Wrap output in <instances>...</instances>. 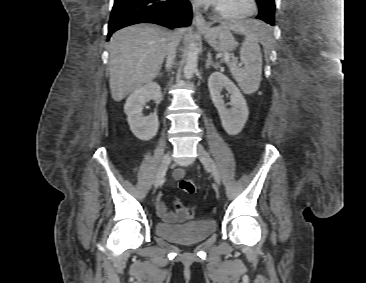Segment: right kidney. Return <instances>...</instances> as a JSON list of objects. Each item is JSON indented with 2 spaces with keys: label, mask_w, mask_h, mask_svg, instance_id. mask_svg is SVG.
<instances>
[{
  "label": "right kidney",
  "mask_w": 366,
  "mask_h": 283,
  "mask_svg": "<svg viewBox=\"0 0 366 283\" xmlns=\"http://www.w3.org/2000/svg\"><path fill=\"white\" fill-rule=\"evenodd\" d=\"M161 88L156 82H149L133 91L124 105V112L133 134L140 140H151L157 133L159 122L157 113L150 116L142 114L143 105L150 100L158 101Z\"/></svg>",
  "instance_id": "ca27d5eb"
}]
</instances>
